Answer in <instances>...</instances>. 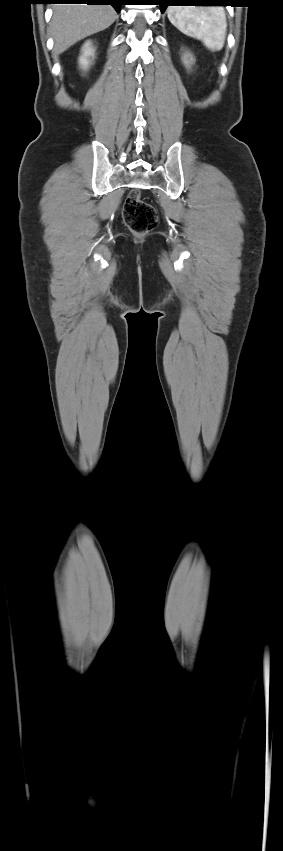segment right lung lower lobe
Returning a JSON list of instances; mask_svg holds the SVG:
<instances>
[{
  "label": "right lung lower lobe",
  "instance_id": "1",
  "mask_svg": "<svg viewBox=\"0 0 283 851\" xmlns=\"http://www.w3.org/2000/svg\"><path fill=\"white\" fill-rule=\"evenodd\" d=\"M123 0H46L45 3L51 4H71V3H79V4H88V5H112L114 9L119 12L120 5Z\"/></svg>",
  "mask_w": 283,
  "mask_h": 851
}]
</instances>
